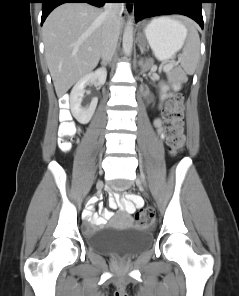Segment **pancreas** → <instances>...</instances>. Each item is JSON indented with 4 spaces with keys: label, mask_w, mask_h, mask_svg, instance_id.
I'll list each match as a JSON object with an SVG mask.
<instances>
[{
    "label": "pancreas",
    "mask_w": 239,
    "mask_h": 296,
    "mask_svg": "<svg viewBox=\"0 0 239 296\" xmlns=\"http://www.w3.org/2000/svg\"><path fill=\"white\" fill-rule=\"evenodd\" d=\"M165 71L168 73V75H170L171 69H165Z\"/></svg>",
    "instance_id": "1"
}]
</instances>
